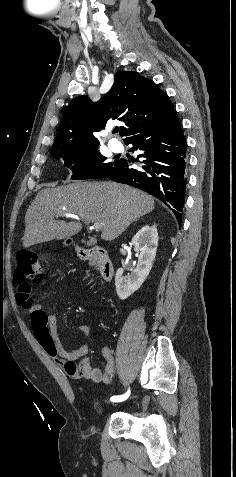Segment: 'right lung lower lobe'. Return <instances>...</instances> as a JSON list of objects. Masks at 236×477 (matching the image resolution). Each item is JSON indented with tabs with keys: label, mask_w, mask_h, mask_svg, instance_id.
Listing matches in <instances>:
<instances>
[{
	"label": "right lung lower lobe",
	"mask_w": 236,
	"mask_h": 477,
	"mask_svg": "<svg viewBox=\"0 0 236 477\" xmlns=\"http://www.w3.org/2000/svg\"><path fill=\"white\" fill-rule=\"evenodd\" d=\"M125 144H132L141 153L139 169L121 159L107 173L112 180L139 188L164 202L182 220L187 178L185 174L186 141L174 111L161 125L131 136ZM138 162V160H136Z\"/></svg>",
	"instance_id": "1"
}]
</instances>
